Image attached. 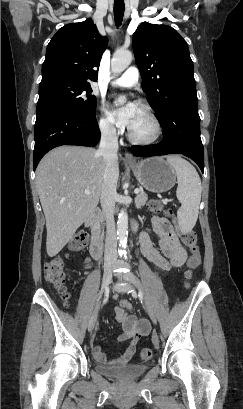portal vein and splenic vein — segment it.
<instances>
[{"mask_svg": "<svg viewBox=\"0 0 243 409\" xmlns=\"http://www.w3.org/2000/svg\"><path fill=\"white\" fill-rule=\"evenodd\" d=\"M84 193H85L86 195H88L90 192H89V190H85ZM134 193H135V194H138V193H139V189H135Z\"/></svg>", "mask_w": 243, "mask_h": 409, "instance_id": "portal-vein-and-splenic-vein-1", "label": "portal vein and splenic vein"}]
</instances>
